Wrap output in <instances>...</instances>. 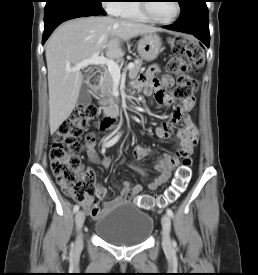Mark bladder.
<instances>
[{
	"label": "bladder",
	"mask_w": 258,
	"mask_h": 275,
	"mask_svg": "<svg viewBox=\"0 0 258 275\" xmlns=\"http://www.w3.org/2000/svg\"><path fill=\"white\" fill-rule=\"evenodd\" d=\"M154 228L152 216L131 203H124L106 212L94 225L95 234L119 246L142 244Z\"/></svg>",
	"instance_id": "31cf9c89"
}]
</instances>
